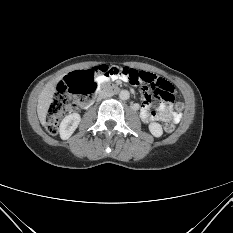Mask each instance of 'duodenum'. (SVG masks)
I'll return each mask as SVG.
<instances>
[{
    "label": "duodenum",
    "mask_w": 233,
    "mask_h": 233,
    "mask_svg": "<svg viewBox=\"0 0 233 233\" xmlns=\"http://www.w3.org/2000/svg\"><path fill=\"white\" fill-rule=\"evenodd\" d=\"M116 89L117 87L114 85L103 83L99 86L97 94L106 93L107 91H115Z\"/></svg>",
    "instance_id": "duodenum-1"
}]
</instances>
